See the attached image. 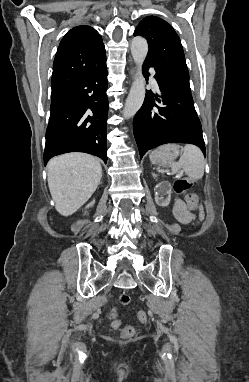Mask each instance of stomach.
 Segmentation results:
<instances>
[{
	"label": "stomach",
	"instance_id": "0dacf381",
	"mask_svg": "<svg viewBox=\"0 0 249 382\" xmlns=\"http://www.w3.org/2000/svg\"><path fill=\"white\" fill-rule=\"evenodd\" d=\"M180 154V147L176 144H168L159 148V153L151 155L150 159L159 166H166L176 159Z\"/></svg>",
	"mask_w": 249,
	"mask_h": 382
}]
</instances>
